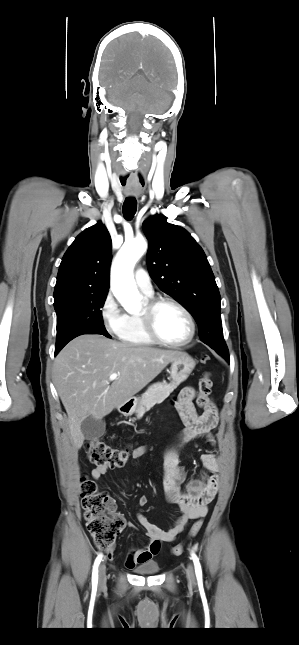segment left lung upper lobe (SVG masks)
Listing matches in <instances>:
<instances>
[{
	"instance_id": "5c2ea615",
	"label": "left lung upper lobe",
	"mask_w": 299,
	"mask_h": 645,
	"mask_svg": "<svg viewBox=\"0 0 299 645\" xmlns=\"http://www.w3.org/2000/svg\"><path fill=\"white\" fill-rule=\"evenodd\" d=\"M142 228L149 240L151 278L190 311L202 342L223 357L229 356L220 317V293L202 248L188 231L167 223L162 214L150 217Z\"/></svg>"
}]
</instances>
